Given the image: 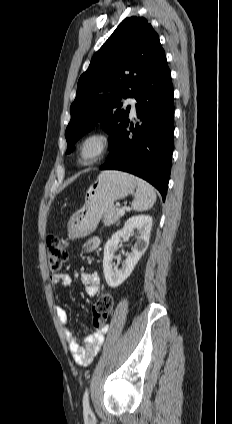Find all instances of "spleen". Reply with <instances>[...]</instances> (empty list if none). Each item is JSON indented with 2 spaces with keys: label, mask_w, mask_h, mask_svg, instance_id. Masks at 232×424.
I'll use <instances>...</instances> for the list:
<instances>
[{
  "label": "spleen",
  "mask_w": 232,
  "mask_h": 424,
  "mask_svg": "<svg viewBox=\"0 0 232 424\" xmlns=\"http://www.w3.org/2000/svg\"><path fill=\"white\" fill-rule=\"evenodd\" d=\"M135 181L137 189L131 207L134 211H146L156 202V192L154 188L143 179L136 177Z\"/></svg>",
  "instance_id": "obj_1"
}]
</instances>
